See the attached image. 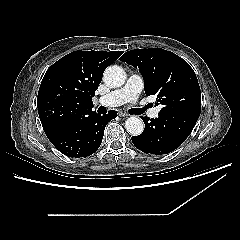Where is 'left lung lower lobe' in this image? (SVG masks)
Here are the masks:
<instances>
[{"label": "left lung lower lobe", "mask_w": 240, "mask_h": 240, "mask_svg": "<svg viewBox=\"0 0 240 240\" xmlns=\"http://www.w3.org/2000/svg\"><path fill=\"white\" fill-rule=\"evenodd\" d=\"M200 113L185 111L158 114L157 118L143 117L145 129L139 136H133L136 148L146 154L162 155L178 148L192 132Z\"/></svg>", "instance_id": "1"}]
</instances>
